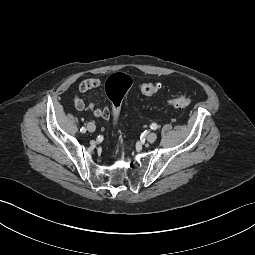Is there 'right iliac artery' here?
Here are the masks:
<instances>
[{"label":"right iliac artery","mask_w":255,"mask_h":255,"mask_svg":"<svg viewBox=\"0 0 255 255\" xmlns=\"http://www.w3.org/2000/svg\"><path fill=\"white\" fill-rule=\"evenodd\" d=\"M80 132L85 133V132H86V128H85V127H82V128L80 129Z\"/></svg>","instance_id":"obj_1"}]
</instances>
